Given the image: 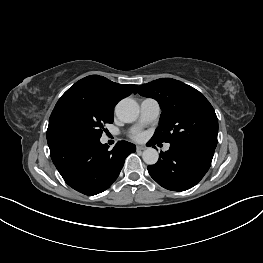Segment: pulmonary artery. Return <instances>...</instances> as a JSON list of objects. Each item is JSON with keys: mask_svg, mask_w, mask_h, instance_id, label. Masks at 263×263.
<instances>
[{"mask_svg": "<svg viewBox=\"0 0 263 263\" xmlns=\"http://www.w3.org/2000/svg\"><path fill=\"white\" fill-rule=\"evenodd\" d=\"M160 112V105L155 99H143L140 103V115L137 125L144 126L155 121L159 117ZM169 148V144L164 146L165 150H168Z\"/></svg>", "mask_w": 263, "mask_h": 263, "instance_id": "e3ab8cb5", "label": "pulmonary artery"}]
</instances>
